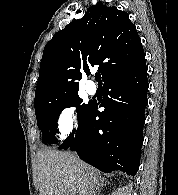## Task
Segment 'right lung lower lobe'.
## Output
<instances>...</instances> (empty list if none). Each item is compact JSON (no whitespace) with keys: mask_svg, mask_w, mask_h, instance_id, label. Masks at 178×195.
Instances as JSON below:
<instances>
[{"mask_svg":"<svg viewBox=\"0 0 178 195\" xmlns=\"http://www.w3.org/2000/svg\"><path fill=\"white\" fill-rule=\"evenodd\" d=\"M148 86L145 60L104 81L100 107L105 110L99 112L97 103H91L75 139H66L59 148L77 149L82 160L103 172L120 170L134 176L140 165Z\"/></svg>","mask_w":178,"mask_h":195,"instance_id":"right-lung-lower-lobe-1","label":"right lung lower lobe"}]
</instances>
